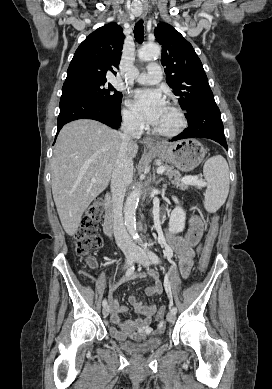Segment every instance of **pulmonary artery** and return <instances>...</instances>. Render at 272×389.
<instances>
[{"label": "pulmonary artery", "mask_w": 272, "mask_h": 389, "mask_svg": "<svg viewBox=\"0 0 272 389\" xmlns=\"http://www.w3.org/2000/svg\"><path fill=\"white\" fill-rule=\"evenodd\" d=\"M133 79L140 84L158 83L162 79V68L156 62L149 63L146 71L135 74Z\"/></svg>", "instance_id": "pulmonary-artery-1"}]
</instances>
